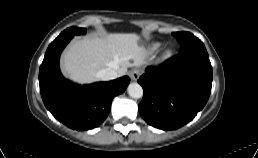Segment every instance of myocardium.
<instances>
[{"label":"myocardium","instance_id":"myocardium-1","mask_svg":"<svg viewBox=\"0 0 258 158\" xmlns=\"http://www.w3.org/2000/svg\"><path fill=\"white\" fill-rule=\"evenodd\" d=\"M170 50H166L164 53H163V56L164 57H167V56H169L170 55Z\"/></svg>","mask_w":258,"mask_h":158}]
</instances>
